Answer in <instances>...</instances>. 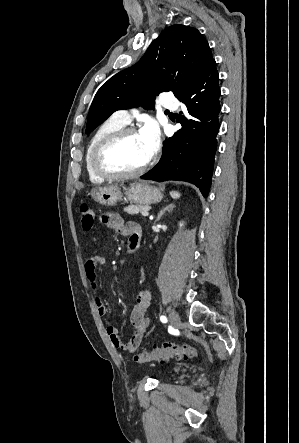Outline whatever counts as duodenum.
<instances>
[{"instance_id":"obj_1","label":"duodenum","mask_w":299,"mask_h":443,"mask_svg":"<svg viewBox=\"0 0 299 443\" xmlns=\"http://www.w3.org/2000/svg\"><path fill=\"white\" fill-rule=\"evenodd\" d=\"M139 245H140V241L138 239L131 241L127 246L126 254L131 255V254L135 253L138 250Z\"/></svg>"}]
</instances>
